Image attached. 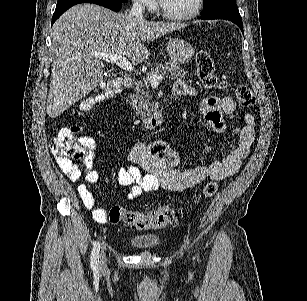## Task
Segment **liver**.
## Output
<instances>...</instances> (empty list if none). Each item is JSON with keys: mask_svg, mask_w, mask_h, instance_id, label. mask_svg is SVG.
<instances>
[{"mask_svg": "<svg viewBox=\"0 0 307 301\" xmlns=\"http://www.w3.org/2000/svg\"><path fill=\"white\" fill-rule=\"evenodd\" d=\"M180 22L136 20L128 12H113L99 4H75L51 28V82L47 114L59 116L103 80L102 60L95 54H123L144 62V42L184 28Z\"/></svg>", "mask_w": 307, "mask_h": 301, "instance_id": "obj_1", "label": "liver"}]
</instances>
